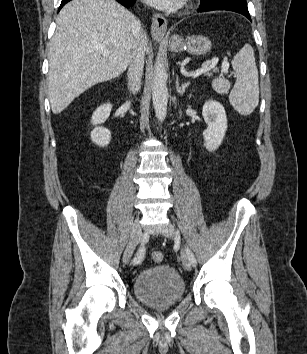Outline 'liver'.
<instances>
[{"label": "liver", "mask_w": 307, "mask_h": 354, "mask_svg": "<svg viewBox=\"0 0 307 354\" xmlns=\"http://www.w3.org/2000/svg\"><path fill=\"white\" fill-rule=\"evenodd\" d=\"M136 23L115 0H72L61 9L49 49L48 95L54 114L126 70L137 39ZM98 45L108 49L109 56H103Z\"/></svg>", "instance_id": "liver-1"}]
</instances>
